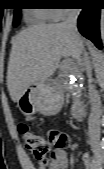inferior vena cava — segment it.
I'll list each match as a JSON object with an SVG mask.
<instances>
[{"label":"inferior vena cava","mask_w":104,"mask_h":169,"mask_svg":"<svg viewBox=\"0 0 104 169\" xmlns=\"http://www.w3.org/2000/svg\"><path fill=\"white\" fill-rule=\"evenodd\" d=\"M80 13L79 9H69L67 13L66 20L62 23L65 28H67L76 38L79 48L81 50V54L83 55L82 58V65L86 70L88 78L92 79V65L89 59V55L84 49L83 43L80 39V35L77 30V18ZM89 99L91 104V111L88 120V128H89V138H90V145L92 148H100V117L102 114L101 109V98L97 90L91 86L89 90Z\"/></svg>","instance_id":"1"}]
</instances>
